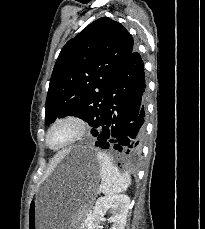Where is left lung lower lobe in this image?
Wrapping results in <instances>:
<instances>
[{"label":"left lung lower lobe","instance_id":"obj_1","mask_svg":"<svg viewBox=\"0 0 205 229\" xmlns=\"http://www.w3.org/2000/svg\"><path fill=\"white\" fill-rule=\"evenodd\" d=\"M145 72L139 53L129 55L108 91V102L93 134L95 145L116 149L129 158L140 155L145 129Z\"/></svg>","mask_w":205,"mask_h":229}]
</instances>
